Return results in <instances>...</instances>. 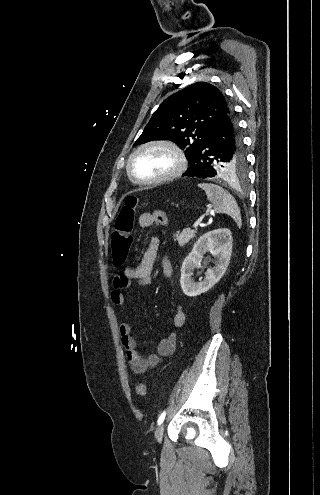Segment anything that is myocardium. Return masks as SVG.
Instances as JSON below:
<instances>
[{"label":"myocardium","instance_id":"1","mask_svg":"<svg viewBox=\"0 0 320 495\" xmlns=\"http://www.w3.org/2000/svg\"><path fill=\"white\" fill-rule=\"evenodd\" d=\"M151 148H165L169 150L175 157V167L172 171L160 177L153 179H140L134 174L132 170L133 160L140 152ZM186 165L187 162L185 154L176 143L170 140L157 139L143 143L132 151L127 160L126 171L130 179L139 185H159L178 178L185 171Z\"/></svg>","mask_w":320,"mask_h":495}]
</instances>
